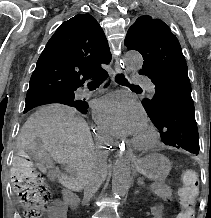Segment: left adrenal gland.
<instances>
[{"mask_svg":"<svg viewBox=\"0 0 211 218\" xmlns=\"http://www.w3.org/2000/svg\"><path fill=\"white\" fill-rule=\"evenodd\" d=\"M135 194H139L138 190H137V192H135Z\"/></svg>","mask_w":211,"mask_h":218,"instance_id":"1","label":"left adrenal gland"}]
</instances>
